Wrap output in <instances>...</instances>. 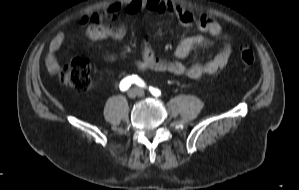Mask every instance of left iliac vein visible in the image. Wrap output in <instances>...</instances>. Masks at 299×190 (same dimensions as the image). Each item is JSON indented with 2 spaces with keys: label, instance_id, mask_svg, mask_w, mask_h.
I'll return each instance as SVG.
<instances>
[{
  "label": "left iliac vein",
  "instance_id": "4c4485c4",
  "mask_svg": "<svg viewBox=\"0 0 299 190\" xmlns=\"http://www.w3.org/2000/svg\"><path fill=\"white\" fill-rule=\"evenodd\" d=\"M139 91H140V93H139V94H140V95H143V92H142L141 90H139Z\"/></svg>",
  "mask_w": 299,
  "mask_h": 190
}]
</instances>
